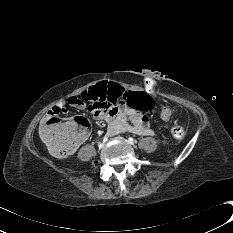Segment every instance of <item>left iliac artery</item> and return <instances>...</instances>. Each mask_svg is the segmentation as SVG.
Here are the masks:
<instances>
[{
	"instance_id": "1",
	"label": "left iliac artery",
	"mask_w": 233,
	"mask_h": 233,
	"mask_svg": "<svg viewBox=\"0 0 233 233\" xmlns=\"http://www.w3.org/2000/svg\"><path fill=\"white\" fill-rule=\"evenodd\" d=\"M128 140H129L130 144H134V142H135V140L132 137H130Z\"/></svg>"
}]
</instances>
